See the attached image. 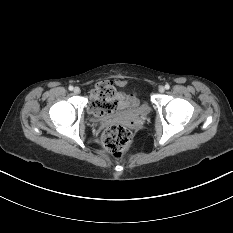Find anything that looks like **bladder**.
Listing matches in <instances>:
<instances>
[{"label":"bladder","instance_id":"obj_1","mask_svg":"<svg viewBox=\"0 0 233 233\" xmlns=\"http://www.w3.org/2000/svg\"><path fill=\"white\" fill-rule=\"evenodd\" d=\"M124 108L129 113L136 115H147L150 112L149 105L140 98L132 99Z\"/></svg>","mask_w":233,"mask_h":233}]
</instances>
